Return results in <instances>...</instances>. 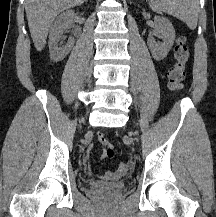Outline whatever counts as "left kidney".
I'll return each instance as SVG.
<instances>
[{"instance_id":"1","label":"left kidney","mask_w":216,"mask_h":217,"mask_svg":"<svg viewBox=\"0 0 216 217\" xmlns=\"http://www.w3.org/2000/svg\"><path fill=\"white\" fill-rule=\"evenodd\" d=\"M154 23L155 33L161 36L163 42L156 44L153 38H148L147 44L154 59L160 61L167 56L174 43L175 30L167 18L157 16Z\"/></svg>"}]
</instances>
